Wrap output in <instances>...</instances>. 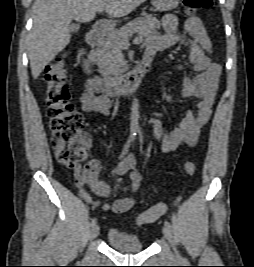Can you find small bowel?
Here are the masks:
<instances>
[{"mask_svg": "<svg viewBox=\"0 0 254 267\" xmlns=\"http://www.w3.org/2000/svg\"><path fill=\"white\" fill-rule=\"evenodd\" d=\"M162 24L164 33L154 36L147 43L145 57L152 60L155 55L162 53L167 48L177 43H183L189 49V64L195 74L184 79L182 95L195 97L199 100L196 111H188L179 125L170 132L165 131L159 114L148 121L154 137L161 143L162 151L171 152L182 144L192 147L197 143L202 128L208 123L212 114L221 66L211 60L212 43L198 17L191 16L185 19L183 22L185 34L179 30L181 20L176 15L164 16ZM104 85L105 82L102 83L98 76H93L85 81L83 92L79 98L83 111L103 115L111 114L112 103L109 97L99 94ZM100 168L99 161L93 159L88 162L83 171L81 167L74 169L76 185L80 188L82 198L93 203L102 211L118 214L129 211L134 205L133 197L120 198L112 204L101 203L93 201L88 192L83 189V186L87 184L98 196L108 197L110 195V186L98 179ZM115 173L119 176L129 173V181L122 187L123 191L131 194L138 191L141 184V174L135 169V159L132 155H128L116 166ZM118 188H121L120 184Z\"/></svg>", "mask_w": 254, "mask_h": 267, "instance_id": "1", "label": "small bowel"}]
</instances>
